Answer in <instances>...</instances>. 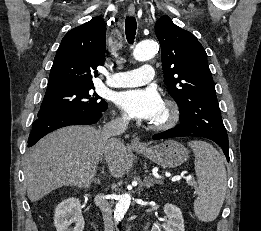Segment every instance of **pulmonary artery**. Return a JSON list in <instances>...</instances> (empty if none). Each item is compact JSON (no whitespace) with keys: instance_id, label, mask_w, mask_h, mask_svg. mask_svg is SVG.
<instances>
[{"instance_id":"e3ab8cb5","label":"pulmonary artery","mask_w":261,"mask_h":231,"mask_svg":"<svg viewBox=\"0 0 261 231\" xmlns=\"http://www.w3.org/2000/svg\"><path fill=\"white\" fill-rule=\"evenodd\" d=\"M154 75V68L145 65L131 71L118 72L108 78L107 84L117 88L134 87L152 81Z\"/></svg>"}]
</instances>
